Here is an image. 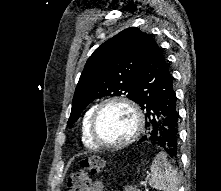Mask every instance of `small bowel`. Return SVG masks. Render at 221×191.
Segmentation results:
<instances>
[{
    "label": "small bowel",
    "mask_w": 221,
    "mask_h": 191,
    "mask_svg": "<svg viewBox=\"0 0 221 191\" xmlns=\"http://www.w3.org/2000/svg\"><path fill=\"white\" fill-rule=\"evenodd\" d=\"M89 191H105V186L101 181H93L90 184Z\"/></svg>",
    "instance_id": "1"
}]
</instances>
